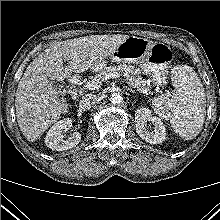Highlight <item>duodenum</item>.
Segmentation results:
<instances>
[{"label": "duodenum", "mask_w": 220, "mask_h": 220, "mask_svg": "<svg viewBox=\"0 0 220 220\" xmlns=\"http://www.w3.org/2000/svg\"><path fill=\"white\" fill-rule=\"evenodd\" d=\"M71 83V95L73 99H76L78 97V90L76 89V85L79 83V77L73 76L70 79Z\"/></svg>", "instance_id": "1"}]
</instances>
